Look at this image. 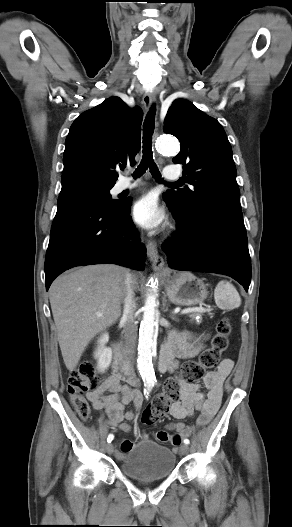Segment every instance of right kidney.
Segmentation results:
<instances>
[{
	"instance_id": "1",
	"label": "right kidney",
	"mask_w": 292,
	"mask_h": 527,
	"mask_svg": "<svg viewBox=\"0 0 292 527\" xmlns=\"http://www.w3.org/2000/svg\"><path fill=\"white\" fill-rule=\"evenodd\" d=\"M109 336L107 333L101 335L98 340V348L95 351V358L98 359V370L104 372L110 365L112 359V350L105 347L108 342Z\"/></svg>"
}]
</instances>
